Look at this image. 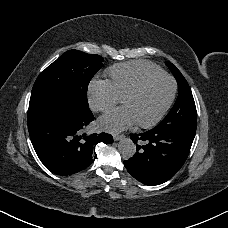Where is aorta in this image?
<instances>
[{
	"label": "aorta",
	"mask_w": 228,
	"mask_h": 228,
	"mask_svg": "<svg viewBox=\"0 0 228 228\" xmlns=\"http://www.w3.org/2000/svg\"><path fill=\"white\" fill-rule=\"evenodd\" d=\"M118 149L121 155L126 159L133 157L136 152V146L129 138L121 139L118 143Z\"/></svg>",
	"instance_id": "762f6f07"
}]
</instances>
